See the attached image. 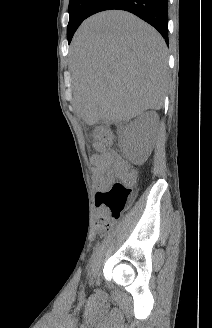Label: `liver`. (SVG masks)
Here are the masks:
<instances>
[{"label": "liver", "mask_w": 212, "mask_h": 328, "mask_svg": "<svg viewBox=\"0 0 212 328\" xmlns=\"http://www.w3.org/2000/svg\"><path fill=\"white\" fill-rule=\"evenodd\" d=\"M69 68L73 106L89 125L128 121L163 106L165 42L131 13L109 10L86 19L72 40Z\"/></svg>", "instance_id": "6515ba94"}]
</instances>
